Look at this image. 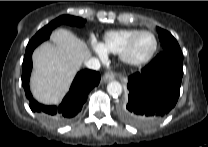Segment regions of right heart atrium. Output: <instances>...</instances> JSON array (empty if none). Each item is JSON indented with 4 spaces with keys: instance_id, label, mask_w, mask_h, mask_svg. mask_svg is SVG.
<instances>
[{
    "instance_id": "d8ad5b80",
    "label": "right heart atrium",
    "mask_w": 208,
    "mask_h": 147,
    "mask_svg": "<svg viewBox=\"0 0 208 147\" xmlns=\"http://www.w3.org/2000/svg\"><path fill=\"white\" fill-rule=\"evenodd\" d=\"M90 43L93 50L101 57L106 56L107 51L102 42L98 41L94 36H91Z\"/></svg>"
}]
</instances>
